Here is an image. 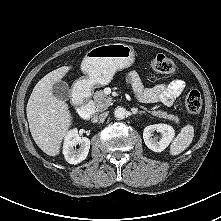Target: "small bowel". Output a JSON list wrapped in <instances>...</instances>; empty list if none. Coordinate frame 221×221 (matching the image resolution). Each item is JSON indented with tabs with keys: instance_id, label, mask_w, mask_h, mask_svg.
<instances>
[{
	"instance_id": "c3829d8e",
	"label": "small bowel",
	"mask_w": 221,
	"mask_h": 221,
	"mask_svg": "<svg viewBox=\"0 0 221 221\" xmlns=\"http://www.w3.org/2000/svg\"><path fill=\"white\" fill-rule=\"evenodd\" d=\"M127 83L137 99L145 103L162 102L165 105H171L185 89V82L181 79L146 88L136 72H130L127 75Z\"/></svg>"
}]
</instances>
